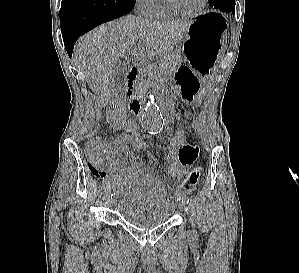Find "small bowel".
Listing matches in <instances>:
<instances>
[{
    "label": "small bowel",
    "mask_w": 299,
    "mask_h": 273,
    "mask_svg": "<svg viewBox=\"0 0 299 273\" xmlns=\"http://www.w3.org/2000/svg\"><path fill=\"white\" fill-rule=\"evenodd\" d=\"M106 118L111 128L124 131L121 136L128 141L140 134L138 126L125 120L118 109H110ZM131 156L129 145H126L119 150L107 151L103 159L114 173L112 183L117 194L123 198V209L149 216L156 209L172 208L179 197L177 192L167 194L158 178L141 175L138 163L129 165L118 163L120 158ZM160 156L168 168L171 179L178 180L189 173L192 163L198 157V147L195 143H188L185 140L180 145L160 150Z\"/></svg>",
    "instance_id": "c3829d8e"
}]
</instances>
